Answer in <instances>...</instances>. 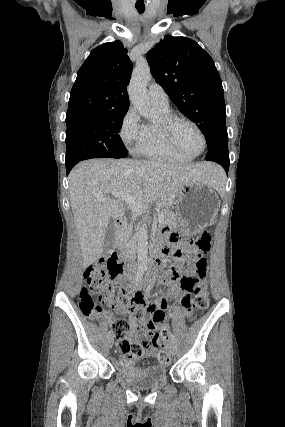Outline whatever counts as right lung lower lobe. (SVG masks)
I'll use <instances>...</instances> for the list:
<instances>
[{
  "label": "right lung lower lobe",
  "mask_w": 285,
  "mask_h": 427,
  "mask_svg": "<svg viewBox=\"0 0 285 427\" xmlns=\"http://www.w3.org/2000/svg\"><path fill=\"white\" fill-rule=\"evenodd\" d=\"M71 169H72V167H66L67 174L70 172Z\"/></svg>",
  "instance_id": "1"
}]
</instances>
